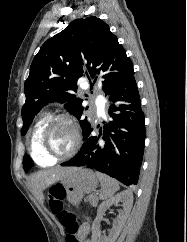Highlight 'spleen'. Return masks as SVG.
I'll return each instance as SVG.
<instances>
[{
	"label": "spleen",
	"instance_id": "spleen-1",
	"mask_svg": "<svg viewBox=\"0 0 187 242\" xmlns=\"http://www.w3.org/2000/svg\"><path fill=\"white\" fill-rule=\"evenodd\" d=\"M96 176L101 183L100 199H110L119 190L118 182L100 172H96Z\"/></svg>",
	"mask_w": 187,
	"mask_h": 242
}]
</instances>
